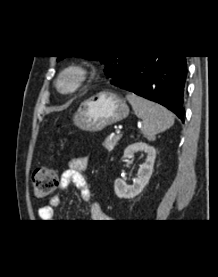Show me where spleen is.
Masks as SVG:
<instances>
[{"label": "spleen", "instance_id": "3e777b00", "mask_svg": "<svg viewBox=\"0 0 218 277\" xmlns=\"http://www.w3.org/2000/svg\"><path fill=\"white\" fill-rule=\"evenodd\" d=\"M126 98L136 116L142 119L141 131L148 140H154L156 134L174 124V116L166 108L133 93L127 94Z\"/></svg>", "mask_w": 218, "mask_h": 277}]
</instances>
